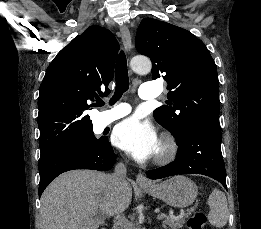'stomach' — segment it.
<instances>
[{"instance_id": "obj_1", "label": "stomach", "mask_w": 261, "mask_h": 229, "mask_svg": "<svg viewBox=\"0 0 261 229\" xmlns=\"http://www.w3.org/2000/svg\"><path fill=\"white\" fill-rule=\"evenodd\" d=\"M143 189L150 197H155V199H160L171 207H180V209L192 205L198 193L195 183L187 177H182V175L167 179L159 185L154 183L153 187H143Z\"/></svg>"}]
</instances>
